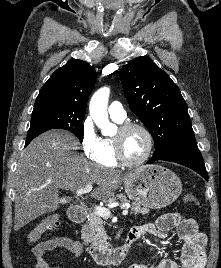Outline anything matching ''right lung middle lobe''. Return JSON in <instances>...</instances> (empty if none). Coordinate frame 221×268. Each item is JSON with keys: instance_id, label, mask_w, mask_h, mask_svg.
<instances>
[{"instance_id": "1", "label": "right lung middle lobe", "mask_w": 221, "mask_h": 268, "mask_svg": "<svg viewBox=\"0 0 221 268\" xmlns=\"http://www.w3.org/2000/svg\"><path fill=\"white\" fill-rule=\"evenodd\" d=\"M85 114L61 109L33 111L27 138H32L50 129H64L72 132L82 142Z\"/></svg>"}]
</instances>
